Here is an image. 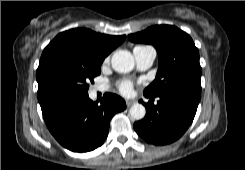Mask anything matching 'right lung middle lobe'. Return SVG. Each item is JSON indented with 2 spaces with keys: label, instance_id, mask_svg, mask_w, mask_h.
Wrapping results in <instances>:
<instances>
[{
  "label": "right lung middle lobe",
  "instance_id": "dd1d6c3e",
  "mask_svg": "<svg viewBox=\"0 0 245 170\" xmlns=\"http://www.w3.org/2000/svg\"><path fill=\"white\" fill-rule=\"evenodd\" d=\"M100 72L101 64H87L59 56L40 61L36 77L41 109L87 95L88 82H93Z\"/></svg>",
  "mask_w": 245,
  "mask_h": 170
}]
</instances>
